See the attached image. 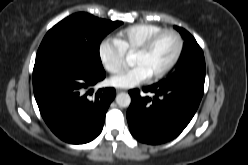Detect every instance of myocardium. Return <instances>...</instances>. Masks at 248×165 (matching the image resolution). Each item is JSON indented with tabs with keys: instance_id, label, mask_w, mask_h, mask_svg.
Masks as SVG:
<instances>
[{
	"instance_id": "f54148a6",
	"label": "myocardium",
	"mask_w": 248,
	"mask_h": 165,
	"mask_svg": "<svg viewBox=\"0 0 248 165\" xmlns=\"http://www.w3.org/2000/svg\"><path fill=\"white\" fill-rule=\"evenodd\" d=\"M167 34H171L175 37V39L177 41V48H176L174 56L169 61V63L163 69H161L159 72H157L156 74H154L150 77V80H152V81L161 79L164 76H166L180 60L181 55L183 53V49H184V41H183L181 35L173 29H163L162 31L152 35L138 49L135 50V53L145 54V53L149 52L153 48V46L163 36H165Z\"/></svg>"
}]
</instances>
